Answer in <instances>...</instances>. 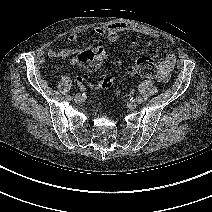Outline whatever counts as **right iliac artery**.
<instances>
[{"label":"right iliac artery","instance_id":"right-iliac-artery-1","mask_svg":"<svg viewBox=\"0 0 212 212\" xmlns=\"http://www.w3.org/2000/svg\"><path fill=\"white\" fill-rule=\"evenodd\" d=\"M66 99L70 101V100L73 99V97H72L71 95H67V96H66Z\"/></svg>","mask_w":212,"mask_h":212}]
</instances>
